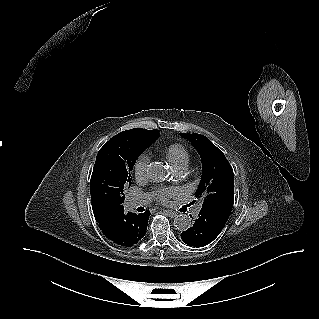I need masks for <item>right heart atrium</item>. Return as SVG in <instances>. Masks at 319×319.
I'll return each instance as SVG.
<instances>
[{
	"mask_svg": "<svg viewBox=\"0 0 319 319\" xmlns=\"http://www.w3.org/2000/svg\"><path fill=\"white\" fill-rule=\"evenodd\" d=\"M149 163L147 154L139 155L134 162V173L137 179H142L146 176Z\"/></svg>",
	"mask_w": 319,
	"mask_h": 319,
	"instance_id": "obj_1",
	"label": "right heart atrium"
}]
</instances>
